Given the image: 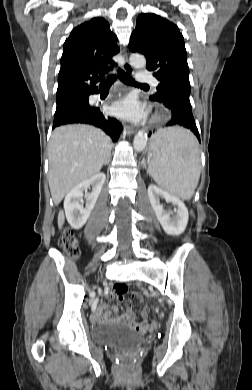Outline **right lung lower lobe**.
Masks as SVG:
<instances>
[{"label": "right lung lower lobe", "instance_id": "98d812e1", "mask_svg": "<svg viewBox=\"0 0 252 390\" xmlns=\"http://www.w3.org/2000/svg\"><path fill=\"white\" fill-rule=\"evenodd\" d=\"M96 92L97 90L85 93L57 104L52 129L70 123L91 124L101 128L116 142L123 127L115 118L104 115L100 108L89 105V95Z\"/></svg>", "mask_w": 252, "mask_h": 390}]
</instances>
